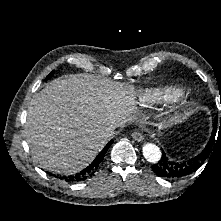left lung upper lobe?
Here are the masks:
<instances>
[{"mask_svg": "<svg viewBox=\"0 0 221 221\" xmlns=\"http://www.w3.org/2000/svg\"><path fill=\"white\" fill-rule=\"evenodd\" d=\"M216 128H217V117H216L215 120H214V129H213V134H212V136H211V139H210V141H209L210 143H212L213 140H214V135H215Z\"/></svg>", "mask_w": 221, "mask_h": 221, "instance_id": "5c2ea615", "label": "left lung upper lobe"}]
</instances>
